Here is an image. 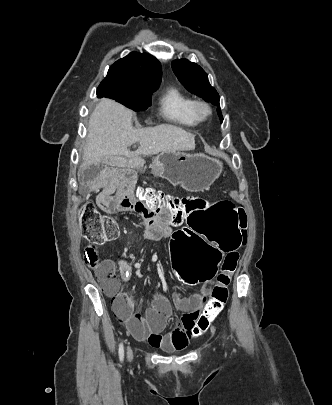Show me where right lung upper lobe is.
Returning <instances> with one entry per match:
<instances>
[{
	"mask_svg": "<svg viewBox=\"0 0 332 405\" xmlns=\"http://www.w3.org/2000/svg\"><path fill=\"white\" fill-rule=\"evenodd\" d=\"M107 76H121L133 83L160 84L162 70L152 55L131 52L112 64Z\"/></svg>",
	"mask_w": 332,
	"mask_h": 405,
	"instance_id": "cb5924a9",
	"label": "right lung upper lobe"
}]
</instances>
